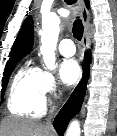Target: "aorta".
I'll use <instances>...</instances> for the list:
<instances>
[{"label":"aorta","mask_w":117,"mask_h":136,"mask_svg":"<svg viewBox=\"0 0 117 136\" xmlns=\"http://www.w3.org/2000/svg\"><path fill=\"white\" fill-rule=\"evenodd\" d=\"M60 17L51 13L42 18V33L40 51L48 69H55V50L60 32ZM80 123L74 120L70 123L65 136H80Z\"/></svg>","instance_id":"762f6f07"}]
</instances>
